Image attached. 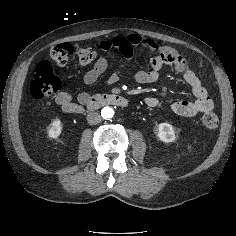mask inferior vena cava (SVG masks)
<instances>
[{"label":"inferior vena cava","instance_id":"602c4592","mask_svg":"<svg viewBox=\"0 0 236 236\" xmlns=\"http://www.w3.org/2000/svg\"><path fill=\"white\" fill-rule=\"evenodd\" d=\"M87 121L91 125H96L101 122V116L97 112H90L87 115Z\"/></svg>","mask_w":236,"mask_h":236}]
</instances>
